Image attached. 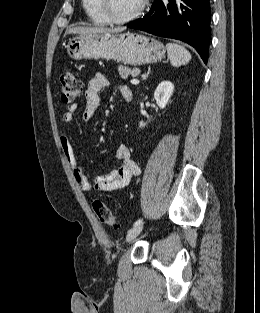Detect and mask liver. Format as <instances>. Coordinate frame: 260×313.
<instances>
[{
  "label": "liver",
  "instance_id": "liver-1",
  "mask_svg": "<svg viewBox=\"0 0 260 313\" xmlns=\"http://www.w3.org/2000/svg\"><path fill=\"white\" fill-rule=\"evenodd\" d=\"M125 28L117 27V28H106V27H73L70 28L67 33L68 34H79V35H87V34H96V33H119L124 31Z\"/></svg>",
  "mask_w": 260,
  "mask_h": 313
}]
</instances>
